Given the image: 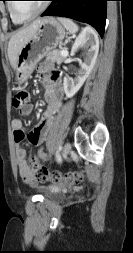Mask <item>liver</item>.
<instances>
[{"label":"liver","instance_id":"6515ba94","mask_svg":"<svg viewBox=\"0 0 133 253\" xmlns=\"http://www.w3.org/2000/svg\"><path fill=\"white\" fill-rule=\"evenodd\" d=\"M42 19L33 21L15 33L8 43V58L13 69L16 67L17 57L22 47L35 35Z\"/></svg>","mask_w":133,"mask_h":253}]
</instances>
